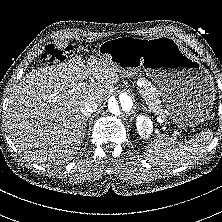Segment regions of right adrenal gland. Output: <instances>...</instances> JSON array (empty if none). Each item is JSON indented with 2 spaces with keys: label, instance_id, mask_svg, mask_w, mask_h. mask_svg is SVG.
Returning a JSON list of instances; mask_svg holds the SVG:
<instances>
[{
  "label": "right adrenal gland",
  "instance_id": "2a0ac1e0",
  "mask_svg": "<svg viewBox=\"0 0 222 222\" xmlns=\"http://www.w3.org/2000/svg\"><path fill=\"white\" fill-rule=\"evenodd\" d=\"M87 120H88V117L85 119V123H84V124H85V127L87 126V123H86V122H87Z\"/></svg>",
  "mask_w": 222,
  "mask_h": 222
}]
</instances>
